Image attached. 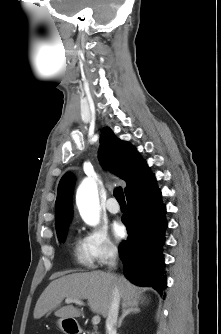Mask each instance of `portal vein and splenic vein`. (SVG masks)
Segmentation results:
<instances>
[{
    "label": "portal vein and splenic vein",
    "instance_id": "obj_1",
    "mask_svg": "<svg viewBox=\"0 0 221 334\" xmlns=\"http://www.w3.org/2000/svg\"><path fill=\"white\" fill-rule=\"evenodd\" d=\"M66 303H76L78 305H84L83 301L79 300V299H71V298H66L65 300ZM101 317L99 315H95L92 318V323L93 325H97L100 323Z\"/></svg>",
    "mask_w": 221,
    "mask_h": 334
}]
</instances>
